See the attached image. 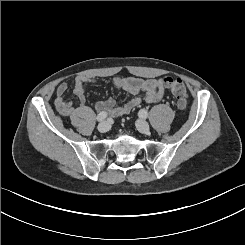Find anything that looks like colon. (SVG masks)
I'll use <instances>...</instances> for the list:
<instances>
[{"label": "colon", "mask_w": 245, "mask_h": 245, "mask_svg": "<svg viewBox=\"0 0 245 245\" xmlns=\"http://www.w3.org/2000/svg\"><path fill=\"white\" fill-rule=\"evenodd\" d=\"M163 84L176 98L178 108L184 110L188 103L185 83L180 78L168 76L163 78Z\"/></svg>", "instance_id": "obj_1"}]
</instances>
